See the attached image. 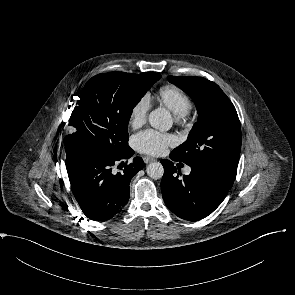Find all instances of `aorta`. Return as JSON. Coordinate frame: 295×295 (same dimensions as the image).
Masks as SVG:
<instances>
[{"label":"aorta","instance_id":"1","mask_svg":"<svg viewBox=\"0 0 295 295\" xmlns=\"http://www.w3.org/2000/svg\"><path fill=\"white\" fill-rule=\"evenodd\" d=\"M148 121L150 125L159 130H169L172 127V118L170 112L164 108H157L153 110L149 116ZM147 175L152 179H160L164 174V167L160 162H152L147 166Z\"/></svg>","mask_w":295,"mask_h":295}]
</instances>
